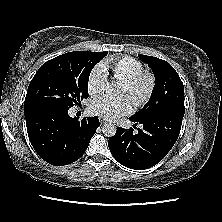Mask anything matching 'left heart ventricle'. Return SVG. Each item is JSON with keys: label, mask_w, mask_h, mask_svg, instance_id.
I'll return each mask as SVG.
<instances>
[{"label": "left heart ventricle", "mask_w": 222, "mask_h": 222, "mask_svg": "<svg viewBox=\"0 0 222 222\" xmlns=\"http://www.w3.org/2000/svg\"><path fill=\"white\" fill-rule=\"evenodd\" d=\"M120 92H121V93H126V87H125L124 85L122 86Z\"/></svg>", "instance_id": "obj_1"}]
</instances>
